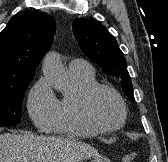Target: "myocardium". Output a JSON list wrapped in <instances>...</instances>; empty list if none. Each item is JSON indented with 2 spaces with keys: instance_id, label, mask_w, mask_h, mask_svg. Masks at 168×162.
Returning a JSON list of instances; mask_svg holds the SVG:
<instances>
[{
  "instance_id": "obj_1",
  "label": "myocardium",
  "mask_w": 168,
  "mask_h": 162,
  "mask_svg": "<svg viewBox=\"0 0 168 162\" xmlns=\"http://www.w3.org/2000/svg\"><path fill=\"white\" fill-rule=\"evenodd\" d=\"M100 90H106L113 94L120 106L121 119L117 124L113 126L101 125L95 120L91 112V100L93 96ZM78 109L80 116L84 120V122L98 132H114L120 130L125 125L128 116L127 106L121 94L114 87L101 83H94L83 91L79 98Z\"/></svg>"
}]
</instances>
